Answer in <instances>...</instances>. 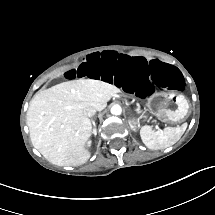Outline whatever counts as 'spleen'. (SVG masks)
I'll list each match as a JSON object with an SVG mask.
<instances>
[{
	"label": "spleen",
	"instance_id": "obj_1",
	"mask_svg": "<svg viewBox=\"0 0 215 215\" xmlns=\"http://www.w3.org/2000/svg\"><path fill=\"white\" fill-rule=\"evenodd\" d=\"M140 136L143 143L152 150L172 146L181 138L178 127H166L163 131H153L149 125L140 129Z\"/></svg>",
	"mask_w": 215,
	"mask_h": 215
}]
</instances>
